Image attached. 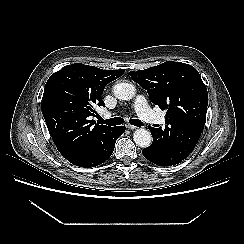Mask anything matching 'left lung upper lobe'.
<instances>
[{
    "label": "left lung upper lobe",
    "instance_id": "1",
    "mask_svg": "<svg viewBox=\"0 0 244 244\" xmlns=\"http://www.w3.org/2000/svg\"><path fill=\"white\" fill-rule=\"evenodd\" d=\"M129 74L155 105L167 110L165 128H149L151 146L166 164L181 162L192 153L206 121L208 93L198 71L185 63L167 61Z\"/></svg>",
    "mask_w": 244,
    "mask_h": 244
}]
</instances>
